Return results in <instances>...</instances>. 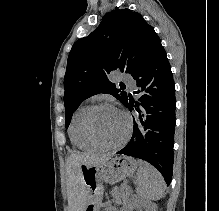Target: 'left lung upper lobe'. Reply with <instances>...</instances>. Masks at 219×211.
I'll return each instance as SVG.
<instances>
[{
    "label": "left lung upper lobe",
    "mask_w": 219,
    "mask_h": 211,
    "mask_svg": "<svg viewBox=\"0 0 219 211\" xmlns=\"http://www.w3.org/2000/svg\"><path fill=\"white\" fill-rule=\"evenodd\" d=\"M163 51L160 38L139 13L129 9L108 13L69 53L64 78L66 128L73 112L92 95L108 93L121 103L127 98V93L108 79L111 71L119 69L133 76Z\"/></svg>",
    "instance_id": "left-lung-upper-lobe-1"
}]
</instances>
